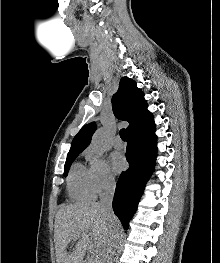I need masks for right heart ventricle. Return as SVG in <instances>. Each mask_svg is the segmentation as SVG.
<instances>
[{"label": "right heart ventricle", "mask_w": 220, "mask_h": 263, "mask_svg": "<svg viewBox=\"0 0 220 263\" xmlns=\"http://www.w3.org/2000/svg\"><path fill=\"white\" fill-rule=\"evenodd\" d=\"M67 189L72 200H93L96 197V192L94 190L89 168L82 163H75L68 175Z\"/></svg>", "instance_id": "1"}]
</instances>
